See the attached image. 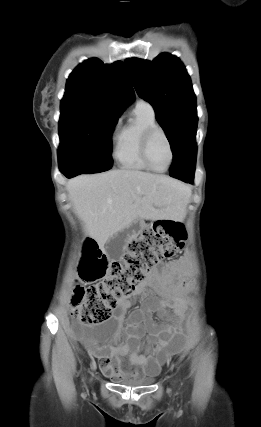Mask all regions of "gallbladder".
Listing matches in <instances>:
<instances>
[{"mask_svg": "<svg viewBox=\"0 0 261 427\" xmlns=\"http://www.w3.org/2000/svg\"><path fill=\"white\" fill-rule=\"evenodd\" d=\"M105 250L111 259H119L124 253V244L120 235L111 237L105 244Z\"/></svg>", "mask_w": 261, "mask_h": 427, "instance_id": "obj_1", "label": "gallbladder"}]
</instances>
